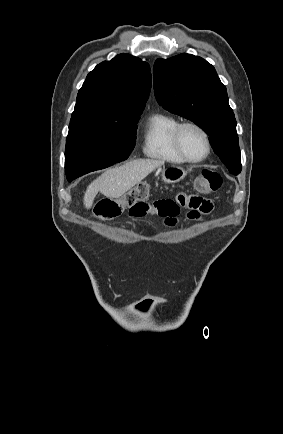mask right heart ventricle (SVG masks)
<instances>
[{"label": "right heart ventricle", "instance_id": "1", "mask_svg": "<svg viewBox=\"0 0 283 434\" xmlns=\"http://www.w3.org/2000/svg\"><path fill=\"white\" fill-rule=\"evenodd\" d=\"M179 123L177 118L166 113L151 115L144 129V154L166 163H184L173 144V133Z\"/></svg>", "mask_w": 283, "mask_h": 434}]
</instances>
